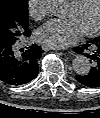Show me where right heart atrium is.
I'll list each match as a JSON object with an SVG mask.
<instances>
[{
  "mask_svg": "<svg viewBox=\"0 0 100 118\" xmlns=\"http://www.w3.org/2000/svg\"><path fill=\"white\" fill-rule=\"evenodd\" d=\"M27 5L30 16L35 20L45 18L49 13V0H28Z\"/></svg>",
  "mask_w": 100,
  "mask_h": 118,
  "instance_id": "1",
  "label": "right heart atrium"
}]
</instances>
